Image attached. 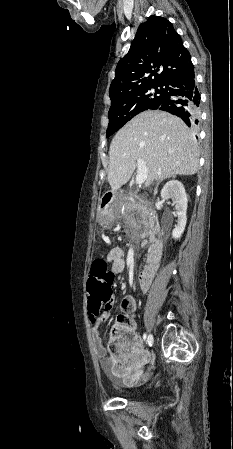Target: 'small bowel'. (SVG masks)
Segmentation results:
<instances>
[{
    "instance_id": "1",
    "label": "small bowel",
    "mask_w": 233,
    "mask_h": 449,
    "mask_svg": "<svg viewBox=\"0 0 233 449\" xmlns=\"http://www.w3.org/2000/svg\"><path fill=\"white\" fill-rule=\"evenodd\" d=\"M107 261L110 263L109 277L111 282L116 276L125 269L124 251L121 247H113L107 254ZM155 279L153 272H139L138 284L141 292H145ZM105 311L95 317H90L91 336L95 353L101 361V365L109 369L115 376L128 384L137 382L142 376V367L150 359L142 346V340L139 336H133L135 344L125 350H117L116 353H108L106 345L102 342L99 335L101 323L107 321L110 317V310L113 305L110 302L105 303Z\"/></svg>"
}]
</instances>
